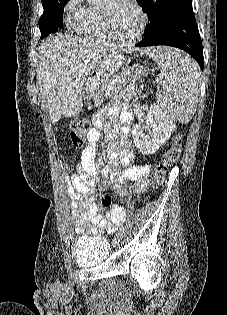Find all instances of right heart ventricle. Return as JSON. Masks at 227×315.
I'll list each match as a JSON object with an SVG mask.
<instances>
[{"label":"right heart ventricle","mask_w":227,"mask_h":315,"mask_svg":"<svg viewBox=\"0 0 227 315\" xmlns=\"http://www.w3.org/2000/svg\"><path fill=\"white\" fill-rule=\"evenodd\" d=\"M75 27L79 34L87 38H111L104 25L101 10L87 7L74 19Z\"/></svg>","instance_id":"obj_1"}]
</instances>
